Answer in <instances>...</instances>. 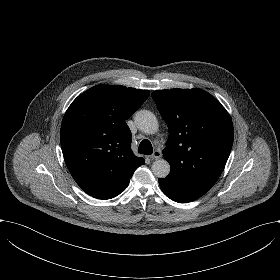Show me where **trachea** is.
I'll use <instances>...</instances> for the list:
<instances>
[{"label": "trachea", "mask_w": 280, "mask_h": 280, "mask_svg": "<svg viewBox=\"0 0 280 280\" xmlns=\"http://www.w3.org/2000/svg\"><path fill=\"white\" fill-rule=\"evenodd\" d=\"M138 152L140 154H145V155L152 154L153 147H152L151 142L147 139H144L143 141H141L139 148H138Z\"/></svg>", "instance_id": "1"}]
</instances>
